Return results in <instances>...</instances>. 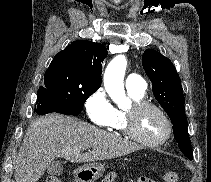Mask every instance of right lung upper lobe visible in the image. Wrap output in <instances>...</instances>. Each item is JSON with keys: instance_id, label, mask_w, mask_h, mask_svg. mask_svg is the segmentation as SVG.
Returning <instances> with one entry per match:
<instances>
[{"instance_id": "cb5924a9", "label": "right lung upper lobe", "mask_w": 211, "mask_h": 182, "mask_svg": "<svg viewBox=\"0 0 211 182\" xmlns=\"http://www.w3.org/2000/svg\"><path fill=\"white\" fill-rule=\"evenodd\" d=\"M107 49L92 41H74L55 55L49 69L64 70L82 80L101 85L102 62Z\"/></svg>"}]
</instances>
